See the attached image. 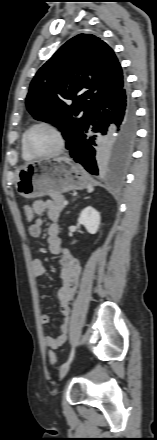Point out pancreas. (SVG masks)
Segmentation results:
<instances>
[{
	"mask_svg": "<svg viewBox=\"0 0 157 440\" xmlns=\"http://www.w3.org/2000/svg\"><path fill=\"white\" fill-rule=\"evenodd\" d=\"M50 197L53 200V207L57 212H61L65 205L63 204V201L65 200L63 195H50Z\"/></svg>",
	"mask_w": 157,
	"mask_h": 440,
	"instance_id": "pancreas-1",
	"label": "pancreas"
}]
</instances>
